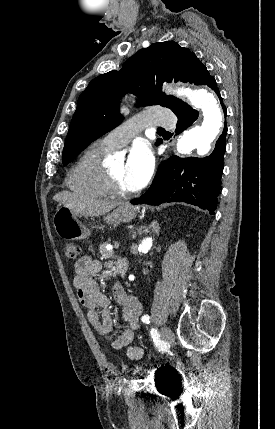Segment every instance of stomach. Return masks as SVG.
Masks as SVG:
<instances>
[{"instance_id":"1","label":"stomach","mask_w":275,"mask_h":429,"mask_svg":"<svg viewBox=\"0 0 275 429\" xmlns=\"http://www.w3.org/2000/svg\"><path fill=\"white\" fill-rule=\"evenodd\" d=\"M137 215V208L125 203L119 205L112 212L104 216V221L117 225L132 221ZM80 215L71 209L61 206L53 216V225L56 233L67 240H82L91 235V231L78 219Z\"/></svg>"}]
</instances>
